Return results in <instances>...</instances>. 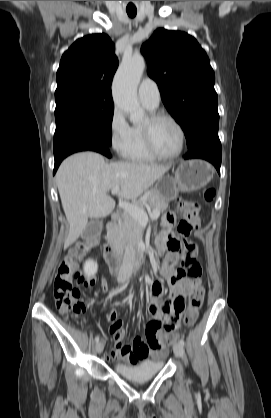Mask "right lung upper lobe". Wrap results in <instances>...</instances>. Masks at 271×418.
<instances>
[{
  "label": "right lung upper lobe",
  "mask_w": 271,
  "mask_h": 418,
  "mask_svg": "<svg viewBox=\"0 0 271 418\" xmlns=\"http://www.w3.org/2000/svg\"><path fill=\"white\" fill-rule=\"evenodd\" d=\"M118 67L114 44L106 34L78 39L63 54L57 71L56 102L69 99L111 101Z\"/></svg>",
  "instance_id": "right-lung-upper-lobe-1"
}]
</instances>
